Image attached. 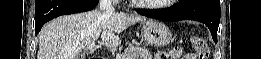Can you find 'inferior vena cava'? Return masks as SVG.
Listing matches in <instances>:
<instances>
[{
	"label": "inferior vena cava",
	"mask_w": 261,
	"mask_h": 59,
	"mask_svg": "<svg viewBox=\"0 0 261 59\" xmlns=\"http://www.w3.org/2000/svg\"><path fill=\"white\" fill-rule=\"evenodd\" d=\"M100 10L105 13L106 16H111L115 12V8L112 5L111 0H100Z\"/></svg>",
	"instance_id": "1"
}]
</instances>
